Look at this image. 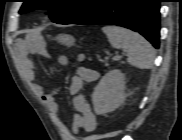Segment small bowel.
<instances>
[{"label":"small bowel","instance_id":"c3829d8e","mask_svg":"<svg viewBox=\"0 0 182 140\" xmlns=\"http://www.w3.org/2000/svg\"><path fill=\"white\" fill-rule=\"evenodd\" d=\"M19 44V60L24 68L26 79L32 84L34 92L40 97L42 103L49 109L52 115L56 116L59 111V103L56 99L57 89L51 88L48 92H46L42 85L35 83L36 68L30 57V54L32 53L45 55L46 51L42 40L40 38H36L35 42L33 43L22 40ZM84 58V55L80 54L77 56V61L82 62ZM57 63L61 66H66L68 64L67 56L63 54L58 55ZM98 78L99 73L97 71L86 67H79L76 74L71 79L69 92L74 96L73 108L75 113L73 115L72 124V131L74 134H78L81 129L87 133H90L96 129L97 120L91 105L86 97L79 92L85 83L94 82Z\"/></svg>","mask_w":182,"mask_h":140}]
</instances>
